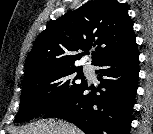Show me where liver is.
Instances as JSON below:
<instances>
[{"label":"liver","mask_w":153,"mask_h":134,"mask_svg":"<svg viewBox=\"0 0 153 134\" xmlns=\"http://www.w3.org/2000/svg\"><path fill=\"white\" fill-rule=\"evenodd\" d=\"M14 134H82V132L67 122L49 119L30 124L21 130H15Z\"/></svg>","instance_id":"obj_1"}]
</instances>
